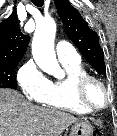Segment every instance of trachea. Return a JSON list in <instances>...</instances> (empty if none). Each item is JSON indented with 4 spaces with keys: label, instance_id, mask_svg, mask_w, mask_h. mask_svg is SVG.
<instances>
[{
    "label": "trachea",
    "instance_id": "trachea-1",
    "mask_svg": "<svg viewBox=\"0 0 117 136\" xmlns=\"http://www.w3.org/2000/svg\"><path fill=\"white\" fill-rule=\"evenodd\" d=\"M32 3L37 7H42L44 4V0H32Z\"/></svg>",
    "mask_w": 117,
    "mask_h": 136
}]
</instances>
